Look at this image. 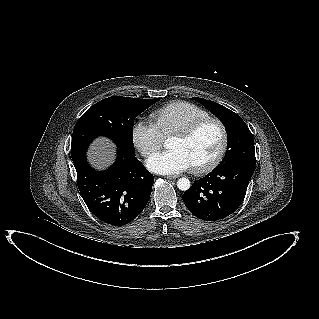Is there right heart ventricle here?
<instances>
[{
	"instance_id": "e07e8e85",
	"label": "right heart ventricle",
	"mask_w": 319,
	"mask_h": 319,
	"mask_svg": "<svg viewBox=\"0 0 319 319\" xmlns=\"http://www.w3.org/2000/svg\"><path fill=\"white\" fill-rule=\"evenodd\" d=\"M209 116L207 111L197 105L174 101L153 111L150 118L162 137L166 138L192 122Z\"/></svg>"
}]
</instances>
